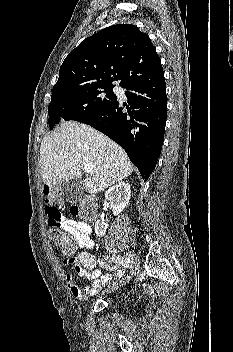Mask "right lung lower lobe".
Instances as JSON below:
<instances>
[{
	"label": "right lung lower lobe",
	"mask_w": 233,
	"mask_h": 352,
	"mask_svg": "<svg viewBox=\"0 0 233 352\" xmlns=\"http://www.w3.org/2000/svg\"><path fill=\"white\" fill-rule=\"evenodd\" d=\"M124 88L130 106L127 112L117 100L77 121L94 127L118 143L147 181L155 169L164 140L167 115L164 72Z\"/></svg>",
	"instance_id": "98d812e1"
}]
</instances>
